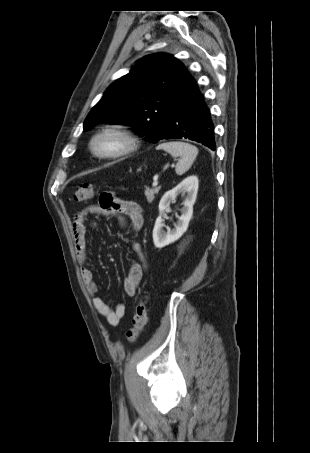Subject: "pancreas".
Instances as JSON below:
<instances>
[{"instance_id": "pancreas-1", "label": "pancreas", "mask_w": 310, "mask_h": 453, "mask_svg": "<svg viewBox=\"0 0 310 453\" xmlns=\"http://www.w3.org/2000/svg\"><path fill=\"white\" fill-rule=\"evenodd\" d=\"M159 190H160V188H154V189L146 188L144 193H145L148 203L153 202V200L155 199V195L158 194Z\"/></svg>"}]
</instances>
